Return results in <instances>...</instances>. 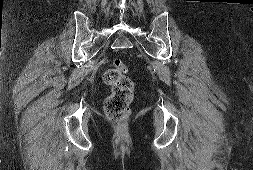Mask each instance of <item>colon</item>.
Wrapping results in <instances>:
<instances>
[{
	"mask_svg": "<svg viewBox=\"0 0 253 170\" xmlns=\"http://www.w3.org/2000/svg\"><path fill=\"white\" fill-rule=\"evenodd\" d=\"M128 69L120 59H114L112 67L104 74L105 83L112 88L106 99L104 109L107 117L114 123L125 122L130 114L134 85L127 76Z\"/></svg>",
	"mask_w": 253,
	"mask_h": 170,
	"instance_id": "obj_1",
	"label": "colon"
}]
</instances>
